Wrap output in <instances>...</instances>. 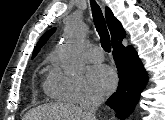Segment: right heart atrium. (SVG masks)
Wrapping results in <instances>:
<instances>
[{"label": "right heart atrium", "mask_w": 165, "mask_h": 120, "mask_svg": "<svg viewBox=\"0 0 165 120\" xmlns=\"http://www.w3.org/2000/svg\"><path fill=\"white\" fill-rule=\"evenodd\" d=\"M52 96L73 103H82L98 99V95L82 75H67L56 67L48 81Z\"/></svg>", "instance_id": "right-heart-atrium-1"}]
</instances>
